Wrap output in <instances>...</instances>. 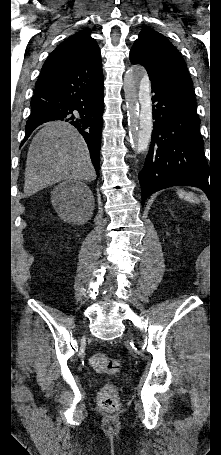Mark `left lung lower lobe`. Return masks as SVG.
<instances>
[{
  "label": "left lung lower lobe",
  "instance_id": "1",
  "mask_svg": "<svg viewBox=\"0 0 221 455\" xmlns=\"http://www.w3.org/2000/svg\"><path fill=\"white\" fill-rule=\"evenodd\" d=\"M153 132L144 167L139 173L142 206L145 199L175 185L195 186L209 193V172L200 134L197 104L151 83Z\"/></svg>",
  "mask_w": 221,
  "mask_h": 455
}]
</instances>
